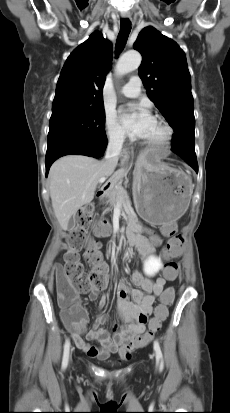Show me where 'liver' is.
Returning a JSON list of instances; mask_svg holds the SVG:
<instances>
[{
    "mask_svg": "<svg viewBox=\"0 0 230 413\" xmlns=\"http://www.w3.org/2000/svg\"><path fill=\"white\" fill-rule=\"evenodd\" d=\"M115 167L106 160L84 155L64 156L53 163L49 172L50 197L63 230H67L70 218L93 200L99 179L111 176Z\"/></svg>",
    "mask_w": 230,
    "mask_h": 413,
    "instance_id": "6515ba94",
    "label": "liver"
}]
</instances>
